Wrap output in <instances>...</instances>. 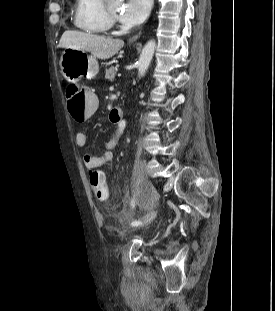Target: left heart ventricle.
Listing matches in <instances>:
<instances>
[{"mask_svg": "<svg viewBox=\"0 0 275 311\" xmlns=\"http://www.w3.org/2000/svg\"><path fill=\"white\" fill-rule=\"evenodd\" d=\"M108 7L113 14H117L121 10L120 3H110L108 4Z\"/></svg>", "mask_w": 275, "mask_h": 311, "instance_id": "1", "label": "left heart ventricle"}]
</instances>
